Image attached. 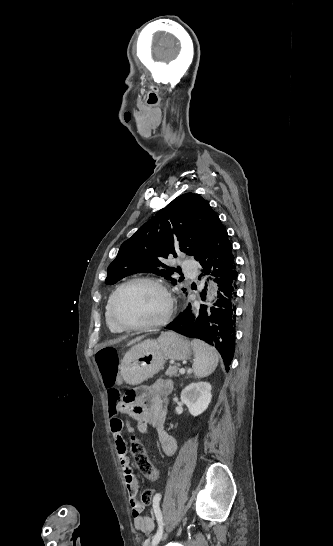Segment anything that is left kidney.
<instances>
[{
  "instance_id": "left-kidney-1",
  "label": "left kidney",
  "mask_w": 333,
  "mask_h": 546,
  "mask_svg": "<svg viewBox=\"0 0 333 546\" xmlns=\"http://www.w3.org/2000/svg\"><path fill=\"white\" fill-rule=\"evenodd\" d=\"M211 398V385L208 382L190 384L181 392V401L193 416L203 413L208 408Z\"/></svg>"
}]
</instances>
